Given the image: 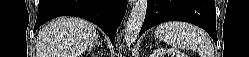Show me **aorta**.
Masks as SVG:
<instances>
[{
	"label": "aorta",
	"mask_w": 249,
	"mask_h": 57,
	"mask_svg": "<svg viewBox=\"0 0 249 57\" xmlns=\"http://www.w3.org/2000/svg\"><path fill=\"white\" fill-rule=\"evenodd\" d=\"M147 11V0H137L126 22L124 41L127 46L133 44L143 25Z\"/></svg>",
	"instance_id": "762f6f07"
}]
</instances>
